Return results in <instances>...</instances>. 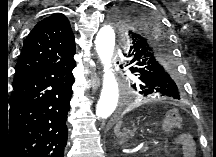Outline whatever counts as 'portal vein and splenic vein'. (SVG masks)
Listing matches in <instances>:
<instances>
[{"label": "portal vein and splenic vein", "mask_w": 216, "mask_h": 157, "mask_svg": "<svg viewBox=\"0 0 216 157\" xmlns=\"http://www.w3.org/2000/svg\"><path fill=\"white\" fill-rule=\"evenodd\" d=\"M148 147L146 145H139L135 148V150H141V151H146Z\"/></svg>", "instance_id": "1"}]
</instances>
